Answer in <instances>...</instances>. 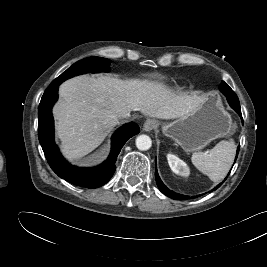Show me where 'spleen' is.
Wrapping results in <instances>:
<instances>
[{
  "instance_id": "1",
  "label": "spleen",
  "mask_w": 267,
  "mask_h": 267,
  "mask_svg": "<svg viewBox=\"0 0 267 267\" xmlns=\"http://www.w3.org/2000/svg\"><path fill=\"white\" fill-rule=\"evenodd\" d=\"M236 153V145L231 139L217 143L208 152L193 153L191 161L203 174L213 182L222 180L229 172Z\"/></svg>"
}]
</instances>
